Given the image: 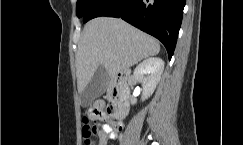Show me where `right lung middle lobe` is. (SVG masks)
Wrapping results in <instances>:
<instances>
[{
	"label": "right lung middle lobe",
	"mask_w": 243,
	"mask_h": 145,
	"mask_svg": "<svg viewBox=\"0 0 243 145\" xmlns=\"http://www.w3.org/2000/svg\"><path fill=\"white\" fill-rule=\"evenodd\" d=\"M96 0H77L76 4V15L78 18L84 16L88 8L95 2Z\"/></svg>",
	"instance_id": "right-lung-middle-lobe-1"
}]
</instances>
